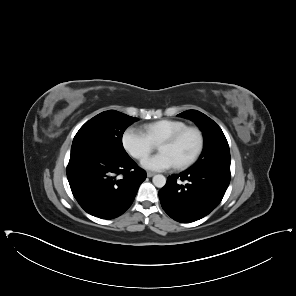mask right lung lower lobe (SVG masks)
Masks as SVG:
<instances>
[{"instance_id":"1","label":"right lung lower lobe","mask_w":296,"mask_h":296,"mask_svg":"<svg viewBox=\"0 0 296 296\" xmlns=\"http://www.w3.org/2000/svg\"><path fill=\"white\" fill-rule=\"evenodd\" d=\"M67 177L74 197L87 213L112 219L130 207L146 172L129 156L116 159L78 152L70 156Z\"/></svg>"}]
</instances>
